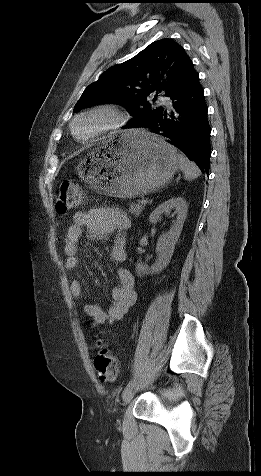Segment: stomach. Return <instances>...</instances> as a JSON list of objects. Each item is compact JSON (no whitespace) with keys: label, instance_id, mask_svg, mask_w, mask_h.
<instances>
[{"label":"stomach","instance_id":"1","mask_svg":"<svg viewBox=\"0 0 261 476\" xmlns=\"http://www.w3.org/2000/svg\"><path fill=\"white\" fill-rule=\"evenodd\" d=\"M177 155L175 148L157 135L133 130L89 152L77 171L104 194L134 198L164 187L178 169Z\"/></svg>","mask_w":261,"mask_h":476}]
</instances>
